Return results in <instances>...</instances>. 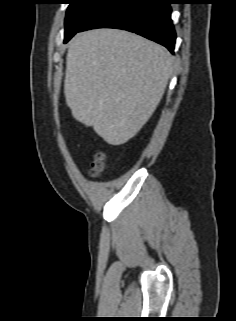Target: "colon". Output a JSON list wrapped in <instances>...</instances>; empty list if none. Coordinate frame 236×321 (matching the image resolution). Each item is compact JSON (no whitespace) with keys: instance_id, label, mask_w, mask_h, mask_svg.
I'll use <instances>...</instances> for the list:
<instances>
[{"instance_id":"1","label":"colon","mask_w":236,"mask_h":321,"mask_svg":"<svg viewBox=\"0 0 236 321\" xmlns=\"http://www.w3.org/2000/svg\"><path fill=\"white\" fill-rule=\"evenodd\" d=\"M106 155L103 152H98L94 156V160L91 164V169L89 171L90 176H98L105 168Z\"/></svg>"}]
</instances>
